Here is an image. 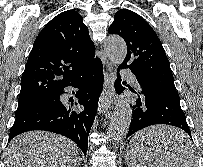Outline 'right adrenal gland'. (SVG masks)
I'll use <instances>...</instances> for the list:
<instances>
[{"label": "right adrenal gland", "mask_w": 203, "mask_h": 167, "mask_svg": "<svg viewBox=\"0 0 203 167\" xmlns=\"http://www.w3.org/2000/svg\"><path fill=\"white\" fill-rule=\"evenodd\" d=\"M80 163H81V159H79V161H78V167L80 166Z\"/></svg>", "instance_id": "2a0ac1e0"}]
</instances>
